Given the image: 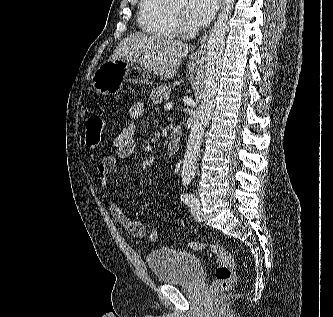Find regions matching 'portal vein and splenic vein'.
Masks as SVG:
<instances>
[{"mask_svg":"<svg viewBox=\"0 0 333 317\" xmlns=\"http://www.w3.org/2000/svg\"><path fill=\"white\" fill-rule=\"evenodd\" d=\"M172 108V102H167L165 105H164V109L166 110H170Z\"/></svg>","mask_w":333,"mask_h":317,"instance_id":"portal-vein-and-splenic-vein-1","label":"portal vein and splenic vein"}]
</instances>
